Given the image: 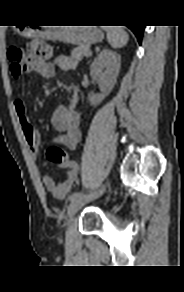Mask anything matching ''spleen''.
I'll list each match as a JSON object with an SVG mask.
<instances>
[{"label": "spleen", "instance_id": "1", "mask_svg": "<svg viewBox=\"0 0 184 292\" xmlns=\"http://www.w3.org/2000/svg\"><path fill=\"white\" fill-rule=\"evenodd\" d=\"M107 39L112 48L118 49L125 46L129 40L127 32L119 26H106Z\"/></svg>", "mask_w": 184, "mask_h": 292}]
</instances>
